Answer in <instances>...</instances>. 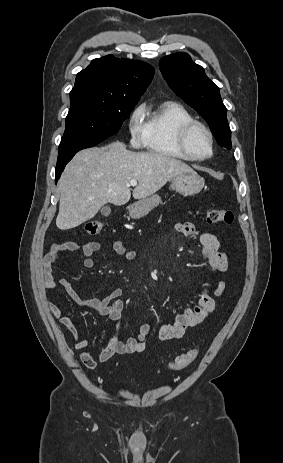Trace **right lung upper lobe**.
I'll list each match as a JSON object with an SVG mask.
<instances>
[{
  "label": "right lung upper lobe",
  "mask_w": 283,
  "mask_h": 463,
  "mask_svg": "<svg viewBox=\"0 0 283 463\" xmlns=\"http://www.w3.org/2000/svg\"><path fill=\"white\" fill-rule=\"evenodd\" d=\"M153 75L154 68L147 63L107 55L92 60L86 69L77 74L70 94L139 101Z\"/></svg>",
  "instance_id": "right-lung-upper-lobe-1"
}]
</instances>
